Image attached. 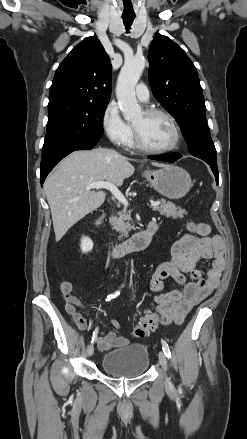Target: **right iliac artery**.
Masks as SVG:
<instances>
[{"instance_id": "obj_1", "label": "right iliac artery", "mask_w": 247, "mask_h": 439, "mask_svg": "<svg viewBox=\"0 0 247 439\" xmlns=\"http://www.w3.org/2000/svg\"><path fill=\"white\" fill-rule=\"evenodd\" d=\"M119 294H120V291H115L114 293L107 296L106 301H110L111 299L116 298ZM95 339H96V334L93 333L92 343L94 342Z\"/></svg>"}]
</instances>
